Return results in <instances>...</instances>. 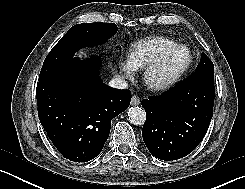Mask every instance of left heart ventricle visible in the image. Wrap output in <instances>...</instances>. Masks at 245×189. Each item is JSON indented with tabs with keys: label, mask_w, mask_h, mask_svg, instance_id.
Segmentation results:
<instances>
[{
	"label": "left heart ventricle",
	"mask_w": 245,
	"mask_h": 189,
	"mask_svg": "<svg viewBox=\"0 0 245 189\" xmlns=\"http://www.w3.org/2000/svg\"><path fill=\"white\" fill-rule=\"evenodd\" d=\"M188 60V53L185 49H177L171 52L159 68L151 75L154 82H162L175 75Z\"/></svg>",
	"instance_id": "1"
}]
</instances>
